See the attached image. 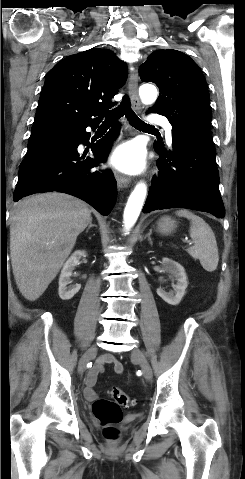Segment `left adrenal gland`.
<instances>
[{
    "label": "left adrenal gland",
    "mask_w": 245,
    "mask_h": 479,
    "mask_svg": "<svg viewBox=\"0 0 245 479\" xmlns=\"http://www.w3.org/2000/svg\"><path fill=\"white\" fill-rule=\"evenodd\" d=\"M151 233H152V230L150 229L149 233L146 234V236H145V238H148V241H149L150 245H152V239H151V236H150Z\"/></svg>",
    "instance_id": "left-adrenal-gland-1"
}]
</instances>
